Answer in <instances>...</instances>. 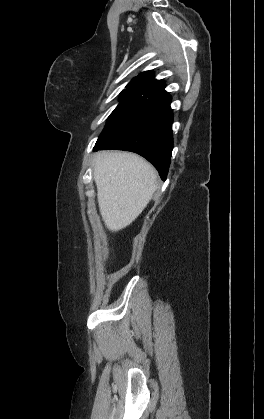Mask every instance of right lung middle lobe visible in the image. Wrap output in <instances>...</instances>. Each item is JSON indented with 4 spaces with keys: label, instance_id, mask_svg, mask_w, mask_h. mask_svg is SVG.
Wrapping results in <instances>:
<instances>
[{
    "label": "right lung middle lobe",
    "instance_id": "obj_1",
    "mask_svg": "<svg viewBox=\"0 0 264 419\" xmlns=\"http://www.w3.org/2000/svg\"><path fill=\"white\" fill-rule=\"evenodd\" d=\"M150 98L129 89L122 92L120 103L111 113L95 147L102 146L122 132L138 115Z\"/></svg>",
    "mask_w": 264,
    "mask_h": 419
}]
</instances>
